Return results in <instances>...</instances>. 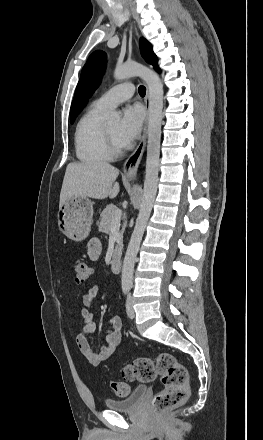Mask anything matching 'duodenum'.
I'll return each mask as SVG.
<instances>
[{"label":"duodenum","mask_w":263,"mask_h":440,"mask_svg":"<svg viewBox=\"0 0 263 440\" xmlns=\"http://www.w3.org/2000/svg\"><path fill=\"white\" fill-rule=\"evenodd\" d=\"M122 260L119 255H115L111 260V269L113 272L118 273L121 271Z\"/></svg>","instance_id":"1"}]
</instances>
